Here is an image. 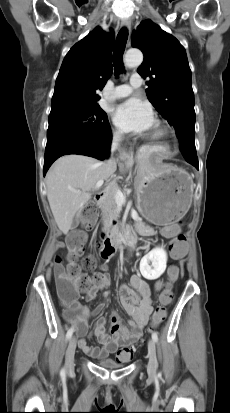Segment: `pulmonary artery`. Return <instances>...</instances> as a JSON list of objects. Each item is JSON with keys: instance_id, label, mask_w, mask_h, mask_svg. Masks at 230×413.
<instances>
[{"instance_id": "obj_1", "label": "pulmonary artery", "mask_w": 230, "mask_h": 413, "mask_svg": "<svg viewBox=\"0 0 230 413\" xmlns=\"http://www.w3.org/2000/svg\"><path fill=\"white\" fill-rule=\"evenodd\" d=\"M142 83H143V80L141 76L139 74H133L130 77L128 84H123L113 89L112 98L119 99V98L129 96L133 92V90L141 86Z\"/></svg>"}]
</instances>
